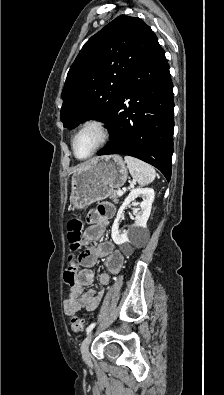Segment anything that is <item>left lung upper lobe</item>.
I'll return each mask as SVG.
<instances>
[{
	"instance_id": "obj_1",
	"label": "left lung upper lobe",
	"mask_w": 224,
	"mask_h": 395,
	"mask_svg": "<svg viewBox=\"0 0 224 395\" xmlns=\"http://www.w3.org/2000/svg\"><path fill=\"white\" fill-rule=\"evenodd\" d=\"M158 39L140 18L120 15L92 36L68 72L61 121L73 129L87 119L107 124L131 73Z\"/></svg>"
}]
</instances>
